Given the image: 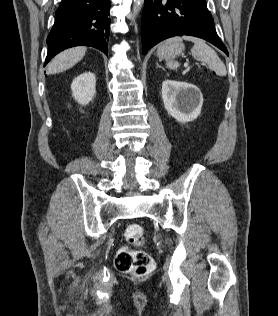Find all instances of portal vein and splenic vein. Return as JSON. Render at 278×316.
<instances>
[{"label": "portal vein and splenic vein", "mask_w": 278, "mask_h": 316, "mask_svg": "<svg viewBox=\"0 0 278 316\" xmlns=\"http://www.w3.org/2000/svg\"><path fill=\"white\" fill-rule=\"evenodd\" d=\"M197 65H199V63H197ZM202 66H204V64H200ZM185 66H188V63H185Z\"/></svg>", "instance_id": "obj_1"}]
</instances>
